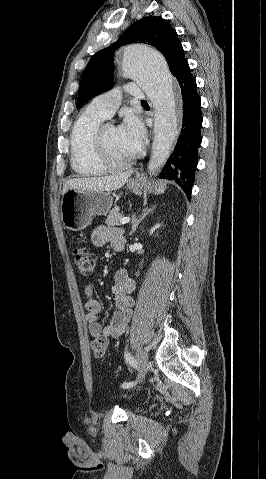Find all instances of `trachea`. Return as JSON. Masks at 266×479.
Masks as SVG:
<instances>
[{"label": "trachea", "instance_id": "3493384b", "mask_svg": "<svg viewBox=\"0 0 266 479\" xmlns=\"http://www.w3.org/2000/svg\"><path fill=\"white\" fill-rule=\"evenodd\" d=\"M141 103H146V101H145V100H142Z\"/></svg>", "mask_w": 266, "mask_h": 479}]
</instances>
